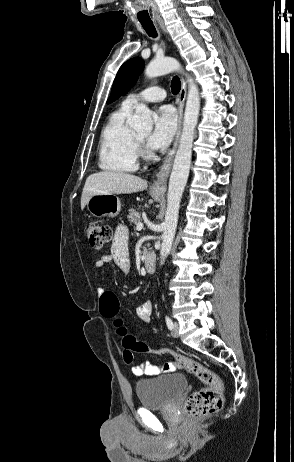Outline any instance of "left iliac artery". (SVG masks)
<instances>
[{"instance_id":"obj_1","label":"left iliac artery","mask_w":294,"mask_h":462,"mask_svg":"<svg viewBox=\"0 0 294 462\" xmlns=\"http://www.w3.org/2000/svg\"><path fill=\"white\" fill-rule=\"evenodd\" d=\"M165 320H166V324H167L168 329H170V330L173 329L174 325H173L172 320L168 316L165 317Z\"/></svg>"}]
</instances>
